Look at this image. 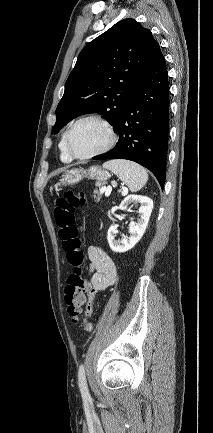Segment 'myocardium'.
<instances>
[{"label": "myocardium", "mask_w": 213, "mask_h": 433, "mask_svg": "<svg viewBox=\"0 0 213 433\" xmlns=\"http://www.w3.org/2000/svg\"><path fill=\"white\" fill-rule=\"evenodd\" d=\"M85 121H95V122L99 123L100 125H102L107 132L108 140H107V143L101 149H99L93 153H90L88 155H77L76 153H74V151L71 148V143H70L71 134L77 125H79L80 123L85 122ZM116 141H117V135H116V132H115L114 128L112 127V125L106 119H104L100 115H96V114H89V115L80 117L68 128V130L66 131V134H65L66 150L72 158L77 159V160H87V159H91L93 157L102 155V154L106 153L107 151H109L115 145Z\"/></svg>", "instance_id": "1"}]
</instances>
